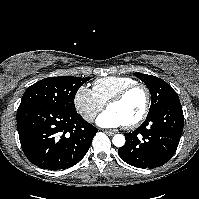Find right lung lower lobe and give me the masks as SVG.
Instances as JSON below:
<instances>
[{"label":"right lung lower lobe","instance_id":"right-lung-lower-lobe-1","mask_svg":"<svg viewBox=\"0 0 199 199\" xmlns=\"http://www.w3.org/2000/svg\"><path fill=\"white\" fill-rule=\"evenodd\" d=\"M17 130L27 159L50 170L78 163L98 132L77 112H63L41 104L19 106Z\"/></svg>","mask_w":199,"mask_h":199}]
</instances>
